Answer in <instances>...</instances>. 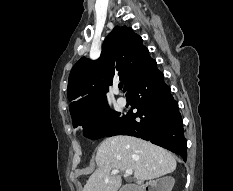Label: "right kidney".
<instances>
[{
    "mask_svg": "<svg viewBox=\"0 0 233 191\" xmlns=\"http://www.w3.org/2000/svg\"><path fill=\"white\" fill-rule=\"evenodd\" d=\"M175 180L171 176H165L163 178L158 179L156 182H151V184L155 185L157 191H171L174 186Z\"/></svg>",
    "mask_w": 233,
    "mask_h": 191,
    "instance_id": "1",
    "label": "right kidney"
}]
</instances>
